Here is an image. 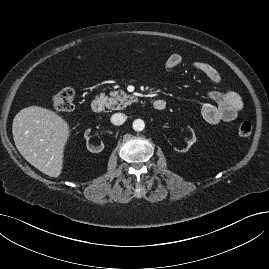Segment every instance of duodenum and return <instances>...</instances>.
<instances>
[{"mask_svg": "<svg viewBox=\"0 0 269 269\" xmlns=\"http://www.w3.org/2000/svg\"><path fill=\"white\" fill-rule=\"evenodd\" d=\"M165 99H157L153 102V107L156 111L160 112L166 108ZM106 105V98L103 95L97 96L93 99L91 108L94 113H101Z\"/></svg>", "mask_w": 269, "mask_h": 269, "instance_id": "duodenum-1", "label": "duodenum"}]
</instances>
